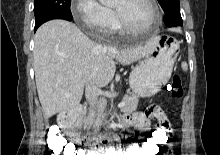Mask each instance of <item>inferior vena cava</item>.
Here are the masks:
<instances>
[{
    "instance_id": "602c4592",
    "label": "inferior vena cava",
    "mask_w": 220,
    "mask_h": 155,
    "mask_svg": "<svg viewBox=\"0 0 220 155\" xmlns=\"http://www.w3.org/2000/svg\"><path fill=\"white\" fill-rule=\"evenodd\" d=\"M86 99L90 103L91 106H94L97 102V97L100 94V89L97 88L96 86H88L86 88Z\"/></svg>"
}]
</instances>
